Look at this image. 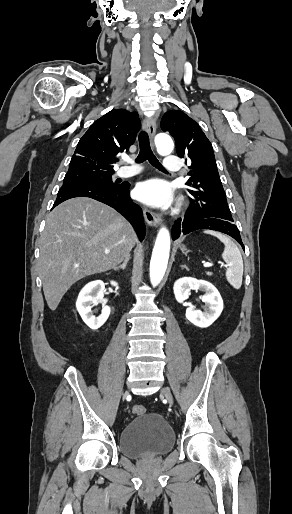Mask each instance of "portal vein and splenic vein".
<instances>
[{
    "label": "portal vein and splenic vein",
    "instance_id": "1",
    "mask_svg": "<svg viewBox=\"0 0 292 514\" xmlns=\"http://www.w3.org/2000/svg\"><path fill=\"white\" fill-rule=\"evenodd\" d=\"M105 254H109V250H106ZM204 268H210V266H213V264H209V262H206V264H203Z\"/></svg>",
    "mask_w": 292,
    "mask_h": 514
}]
</instances>
